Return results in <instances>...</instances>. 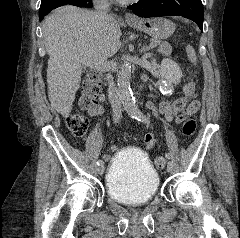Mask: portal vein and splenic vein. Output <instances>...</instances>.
I'll use <instances>...</instances> for the list:
<instances>
[{
  "mask_svg": "<svg viewBox=\"0 0 240 238\" xmlns=\"http://www.w3.org/2000/svg\"><path fill=\"white\" fill-rule=\"evenodd\" d=\"M157 46V42H152L150 43L149 47L150 48H153V47H156ZM82 63L85 65V66H88V67H99V68H105V67H108L110 66V64H107L106 62H97V63H93V62H85V61H82Z\"/></svg>",
  "mask_w": 240,
  "mask_h": 238,
  "instance_id": "obj_1",
  "label": "portal vein and splenic vein"
}]
</instances>
